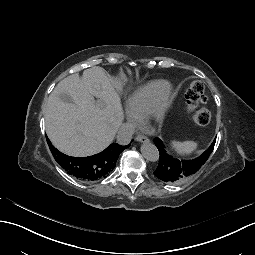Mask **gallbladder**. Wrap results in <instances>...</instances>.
Masks as SVG:
<instances>
[{"mask_svg":"<svg viewBox=\"0 0 255 255\" xmlns=\"http://www.w3.org/2000/svg\"><path fill=\"white\" fill-rule=\"evenodd\" d=\"M64 101H68V102H71L70 100H67L66 98H63Z\"/></svg>","mask_w":255,"mask_h":255,"instance_id":"bac80fb5","label":"gallbladder"}]
</instances>
